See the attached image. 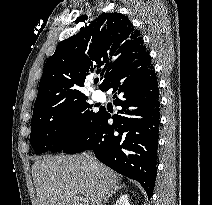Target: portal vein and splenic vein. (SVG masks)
Segmentation results:
<instances>
[{"instance_id":"1","label":"portal vein and splenic vein","mask_w":212,"mask_h":205,"mask_svg":"<svg viewBox=\"0 0 212 205\" xmlns=\"http://www.w3.org/2000/svg\"><path fill=\"white\" fill-rule=\"evenodd\" d=\"M78 198L82 202V204L89 205V199L88 198H83L82 196H78Z\"/></svg>"}]
</instances>
